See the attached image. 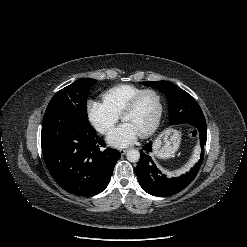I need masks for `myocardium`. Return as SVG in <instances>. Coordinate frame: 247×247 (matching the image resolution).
I'll use <instances>...</instances> for the list:
<instances>
[{"instance_id":"obj_1","label":"myocardium","mask_w":247,"mask_h":247,"mask_svg":"<svg viewBox=\"0 0 247 247\" xmlns=\"http://www.w3.org/2000/svg\"><path fill=\"white\" fill-rule=\"evenodd\" d=\"M146 94H153L156 96L158 100L159 110H158L157 118L155 122L153 123V125L149 129L144 131L143 133L139 134L140 137L142 138L151 136L154 132H156V130L159 128L162 122L163 115H164V101H163V97L161 96V94L154 89H143L129 101V103L125 106V108L123 109L120 115L121 119L123 120L124 116L132 112L139 104L141 98Z\"/></svg>"}]
</instances>
